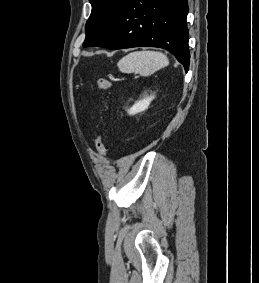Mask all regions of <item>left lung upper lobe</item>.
<instances>
[{"label": "left lung upper lobe", "mask_w": 259, "mask_h": 283, "mask_svg": "<svg viewBox=\"0 0 259 283\" xmlns=\"http://www.w3.org/2000/svg\"><path fill=\"white\" fill-rule=\"evenodd\" d=\"M91 15L86 23V38L83 47H89L102 39L127 0H89Z\"/></svg>", "instance_id": "left-lung-upper-lobe-1"}]
</instances>
